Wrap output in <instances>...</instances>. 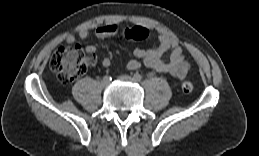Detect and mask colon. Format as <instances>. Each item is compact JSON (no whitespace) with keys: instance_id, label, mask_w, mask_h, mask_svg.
Wrapping results in <instances>:
<instances>
[{"instance_id":"1","label":"colon","mask_w":259,"mask_h":156,"mask_svg":"<svg viewBox=\"0 0 259 156\" xmlns=\"http://www.w3.org/2000/svg\"><path fill=\"white\" fill-rule=\"evenodd\" d=\"M147 37V30L142 27L125 29L116 38L140 41ZM88 59L80 46L60 47L51 57L50 68L55 73L58 81L67 85L75 81L86 70ZM181 90L189 94L193 91V84L185 80L181 84Z\"/></svg>"}]
</instances>
